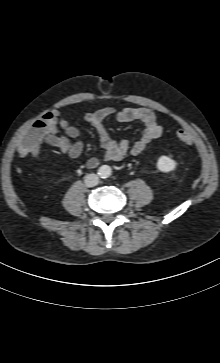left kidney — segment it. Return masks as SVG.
Instances as JSON below:
<instances>
[{
    "mask_svg": "<svg viewBox=\"0 0 220 363\" xmlns=\"http://www.w3.org/2000/svg\"><path fill=\"white\" fill-rule=\"evenodd\" d=\"M174 166H175L174 161L167 156H161L158 159L157 167L162 172H169L173 170Z\"/></svg>",
    "mask_w": 220,
    "mask_h": 363,
    "instance_id": "5707ae66",
    "label": "left kidney"
}]
</instances>
